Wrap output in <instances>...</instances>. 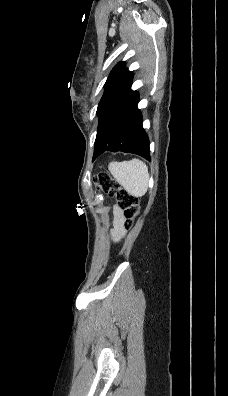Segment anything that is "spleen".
Returning a JSON list of instances; mask_svg holds the SVG:
<instances>
[{"instance_id":"3e777b00","label":"spleen","mask_w":228,"mask_h":396,"mask_svg":"<svg viewBox=\"0 0 228 396\" xmlns=\"http://www.w3.org/2000/svg\"><path fill=\"white\" fill-rule=\"evenodd\" d=\"M109 170L117 182L134 197L146 194L149 185V172L145 163L138 159L112 162Z\"/></svg>"}]
</instances>
